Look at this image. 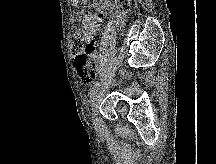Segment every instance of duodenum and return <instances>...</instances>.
<instances>
[{
    "instance_id": "1",
    "label": "duodenum",
    "mask_w": 216,
    "mask_h": 164,
    "mask_svg": "<svg viewBox=\"0 0 216 164\" xmlns=\"http://www.w3.org/2000/svg\"><path fill=\"white\" fill-rule=\"evenodd\" d=\"M95 1L98 8H103L106 5L105 4L106 0H95Z\"/></svg>"
}]
</instances>
